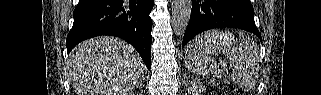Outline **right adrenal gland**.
<instances>
[{"label":"right adrenal gland","mask_w":321,"mask_h":95,"mask_svg":"<svg viewBox=\"0 0 321 95\" xmlns=\"http://www.w3.org/2000/svg\"><path fill=\"white\" fill-rule=\"evenodd\" d=\"M143 86H144V81H142V82L139 84V86L136 87V88H138L139 90H141Z\"/></svg>","instance_id":"right-adrenal-gland-1"}]
</instances>
